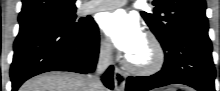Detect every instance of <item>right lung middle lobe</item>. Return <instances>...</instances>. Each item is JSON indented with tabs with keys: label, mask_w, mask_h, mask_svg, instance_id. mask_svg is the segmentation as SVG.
I'll list each match as a JSON object with an SVG mask.
<instances>
[{
	"label": "right lung middle lobe",
	"mask_w": 220,
	"mask_h": 91,
	"mask_svg": "<svg viewBox=\"0 0 220 91\" xmlns=\"http://www.w3.org/2000/svg\"><path fill=\"white\" fill-rule=\"evenodd\" d=\"M76 8H72L71 10L68 11H62V12H56V13H51L48 14L38 20H47L50 22H53L57 25H60L63 28L79 32V31H84L85 29L89 28L93 22L92 21H79L77 22L76 19Z\"/></svg>",
	"instance_id": "1"
}]
</instances>
